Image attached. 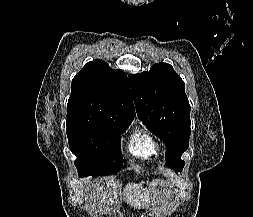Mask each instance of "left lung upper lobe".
<instances>
[{"instance_id": "left-lung-upper-lobe-1", "label": "left lung upper lobe", "mask_w": 253, "mask_h": 217, "mask_svg": "<svg viewBox=\"0 0 253 217\" xmlns=\"http://www.w3.org/2000/svg\"><path fill=\"white\" fill-rule=\"evenodd\" d=\"M138 117L167 145L166 161L177 171L185 162L190 129V105L181 77L167 63L152 65L149 71L130 75Z\"/></svg>"}]
</instances>
